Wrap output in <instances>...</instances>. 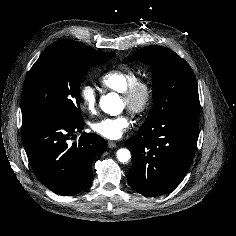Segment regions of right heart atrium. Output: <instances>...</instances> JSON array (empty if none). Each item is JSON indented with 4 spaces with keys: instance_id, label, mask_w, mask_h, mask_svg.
<instances>
[{
    "instance_id": "obj_1",
    "label": "right heart atrium",
    "mask_w": 236,
    "mask_h": 236,
    "mask_svg": "<svg viewBox=\"0 0 236 236\" xmlns=\"http://www.w3.org/2000/svg\"><path fill=\"white\" fill-rule=\"evenodd\" d=\"M79 95L83 107L89 113H95L97 110L98 101L96 89L90 84H83L80 88Z\"/></svg>"
}]
</instances>
